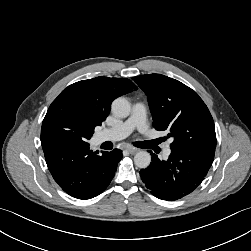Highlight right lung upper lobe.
<instances>
[{"instance_id": "cb5924a9", "label": "right lung upper lobe", "mask_w": 251, "mask_h": 251, "mask_svg": "<svg viewBox=\"0 0 251 251\" xmlns=\"http://www.w3.org/2000/svg\"><path fill=\"white\" fill-rule=\"evenodd\" d=\"M137 89L126 78L96 77L82 80L64 89L48 110L56 107L71 109L95 128L106 119L115 98Z\"/></svg>"}]
</instances>
